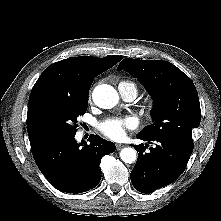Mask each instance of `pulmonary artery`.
Returning <instances> with one entry per match:
<instances>
[{
    "mask_svg": "<svg viewBox=\"0 0 221 221\" xmlns=\"http://www.w3.org/2000/svg\"><path fill=\"white\" fill-rule=\"evenodd\" d=\"M119 92L121 96L127 101L134 100L137 94L133 88H124L122 86H119Z\"/></svg>",
    "mask_w": 221,
    "mask_h": 221,
    "instance_id": "1",
    "label": "pulmonary artery"
}]
</instances>
